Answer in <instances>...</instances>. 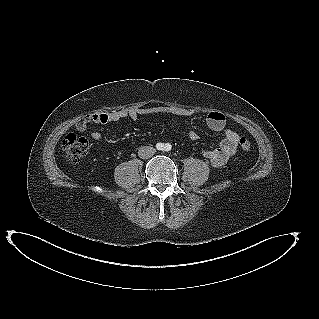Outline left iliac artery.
<instances>
[{"label":"left iliac artery","instance_id":"44dca946","mask_svg":"<svg viewBox=\"0 0 319 319\" xmlns=\"http://www.w3.org/2000/svg\"><path fill=\"white\" fill-rule=\"evenodd\" d=\"M165 150H166V151H170V150H171V145H170L169 143H167V144L165 145Z\"/></svg>","mask_w":319,"mask_h":319}]
</instances>
